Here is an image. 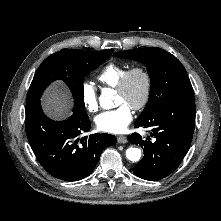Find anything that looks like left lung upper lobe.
Here are the masks:
<instances>
[{"mask_svg": "<svg viewBox=\"0 0 221 221\" xmlns=\"http://www.w3.org/2000/svg\"><path fill=\"white\" fill-rule=\"evenodd\" d=\"M119 58H129L147 66L151 89L149 100L137 120L150 116L158 108L181 101H194V92L187 72L171 53L148 47L114 53Z\"/></svg>", "mask_w": 221, "mask_h": 221, "instance_id": "left-lung-upper-lobe-1", "label": "left lung upper lobe"}]
</instances>
